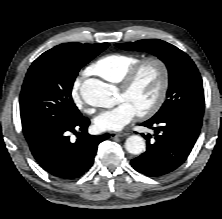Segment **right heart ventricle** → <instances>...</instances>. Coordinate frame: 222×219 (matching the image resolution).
<instances>
[{
    "instance_id": "obj_1",
    "label": "right heart ventricle",
    "mask_w": 222,
    "mask_h": 219,
    "mask_svg": "<svg viewBox=\"0 0 222 219\" xmlns=\"http://www.w3.org/2000/svg\"><path fill=\"white\" fill-rule=\"evenodd\" d=\"M140 59L138 55L111 53L95 61L91 65V70L104 80L118 84Z\"/></svg>"
}]
</instances>
